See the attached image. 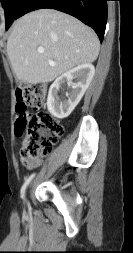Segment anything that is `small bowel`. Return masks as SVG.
<instances>
[{
	"label": "small bowel",
	"mask_w": 133,
	"mask_h": 253,
	"mask_svg": "<svg viewBox=\"0 0 133 253\" xmlns=\"http://www.w3.org/2000/svg\"><path fill=\"white\" fill-rule=\"evenodd\" d=\"M40 163V160H37V161H35L34 163H32L31 165L32 166H35V165H38Z\"/></svg>",
	"instance_id": "small-bowel-1"
}]
</instances>
